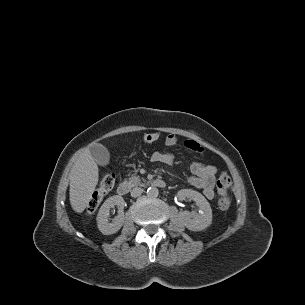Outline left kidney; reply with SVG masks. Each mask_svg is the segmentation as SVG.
Here are the masks:
<instances>
[{
  "mask_svg": "<svg viewBox=\"0 0 305 305\" xmlns=\"http://www.w3.org/2000/svg\"><path fill=\"white\" fill-rule=\"evenodd\" d=\"M179 200L190 199L195 201L199 208L197 212L181 211L178 214L179 221L191 231H202L212 223V209L206 198L192 189H181L177 193Z\"/></svg>",
  "mask_w": 305,
  "mask_h": 305,
  "instance_id": "5707ae66",
  "label": "left kidney"
}]
</instances>
